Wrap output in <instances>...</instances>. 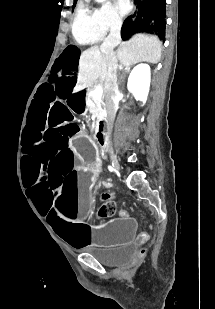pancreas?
<instances>
[{
	"instance_id": "pancreas-1",
	"label": "pancreas",
	"mask_w": 215,
	"mask_h": 309,
	"mask_svg": "<svg viewBox=\"0 0 215 309\" xmlns=\"http://www.w3.org/2000/svg\"><path fill=\"white\" fill-rule=\"evenodd\" d=\"M93 90H95V86H90V88H87L86 106H88L89 112H93V114H95L97 118L96 126H98L100 118H104L105 114L102 100H98V98H94V96H92Z\"/></svg>"
}]
</instances>
